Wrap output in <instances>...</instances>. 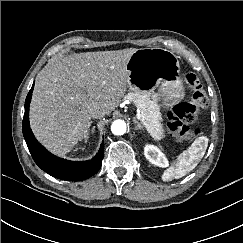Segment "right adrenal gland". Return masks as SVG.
Instances as JSON below:
<instances>
[{
	"label": "right adrenal gland",
	"mask_w": 243,
	"mask_h": 243,
	"mask_svg": "<svg viewBox=\"0 0 243 243\" xmlns=\"http://www.w3.org/2000/svg\"><path fill=\"white\" fill-rule=\"evenodd\" d=\"M88 138H89V136H88V134H87V135L84 137L85 142H87Z\"/></svg>",
	"instance_id": "1"
}]
</instances>
